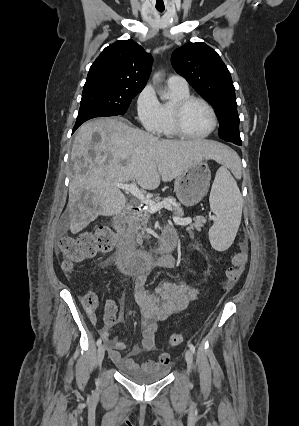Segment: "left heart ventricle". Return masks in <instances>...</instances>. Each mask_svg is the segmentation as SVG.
<instances>
[{
  "label": "left heart ventricle",
  "mask_w": 299,
  "mask_h": 426,
  "mask_svg": "<svg viewBox=\"0 0 299 426\" xmlns=\"http://www.w3.org/2000/svg\"><path fill=\"white\" fill-rule=\"evenodd\" d=\"M183 122L188 132L204 134L212 126V116L202 103L193 102L185 110Z\"/></svg>",
  "instance_id": "left-heart-ventricle-1"
}]
</instances>
